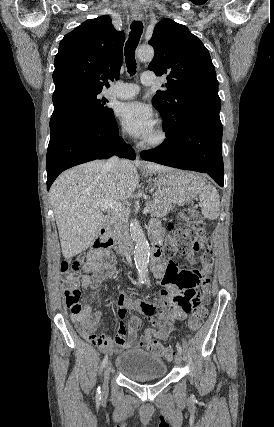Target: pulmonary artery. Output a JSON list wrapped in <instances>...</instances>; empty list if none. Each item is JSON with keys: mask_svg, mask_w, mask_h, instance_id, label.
<instances>
[{"mask_svg": "<svg viewBox=\"0 0 274 427\" xmlns=\"http://www.w3.org/2000/svg\"><path fill=\"white\" fill-rule=\"evenodd\" d=\"M141 83L144 85H153L154 81L152 77H145L144 74L141 76ZM140 91V87L133 83H117L112 86L109 90L110 98L127 99L136 96Z\"/></svg>", "mask_w": 274, "mask_h": 427, "instance_id": "obj_1", "label": "pulmonary artery"}]
</instances>
